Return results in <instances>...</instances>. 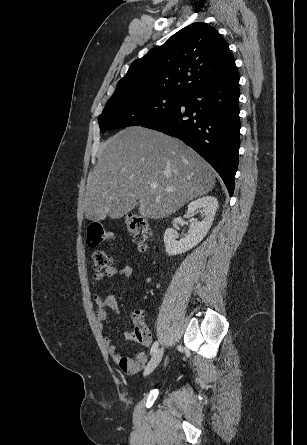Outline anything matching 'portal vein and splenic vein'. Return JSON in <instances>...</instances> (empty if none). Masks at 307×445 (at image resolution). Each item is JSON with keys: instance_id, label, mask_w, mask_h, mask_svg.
I'll list each match as a JSON object with an SVG mask.
<instances>
[{"instance_id": "18ae733b", "label": "portal vein and splenic vein", "mask_w": 307, "mask_h": 445, "mask_svg": "<svg viewBox=\"0 0 307 445\" xmlns=\"http://www.w3.org/2000/svg\"><path fill=\"white\" fill-rule=\"evenodd\" d=\"M157 182H151V188H157ZM165 190H174V188H165Z\"/></svg>"}]
</instances>
